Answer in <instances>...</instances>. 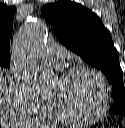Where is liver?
Segmentation results:
<instances>
[{"label": "liver", "mask_w": 125, "mask_h": 128, "mask_svg": "<svg viewBox=\"0 0 125 128\" xmlns=\"http://www.w3.org/2000/svg\"><path fill=\"white\" fill-rule=\"evenodd\" d=\"M21 125L22 121L16 120L12 114L9 88L0 75V128L20 127Z\"/></svg>", "instance_id": "liver-1"}]
</instances>
